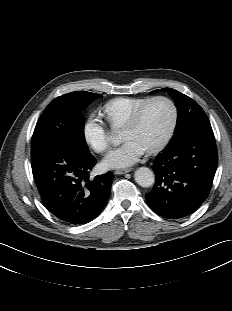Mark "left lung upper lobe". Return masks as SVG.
<instances>
[{
    "label": "left lung upper lobe",
    "mask_w": 232,
    "mask_h": 311,
    "mask_svg": "<svg viewBox=\"0 0 232 311\" xmlns=\"http://www.w3.org/2000/svg\"><path fill=\"white\" fill-rule=\"evenodd\" d=\"M155 91H167L173 97L178 109L177 125L171 142L189 129L202 123L209 122L203 109L188 96L172 88H162Z\"/></svg>",
    "instance_id": "obj_1"
}]
</instances>
